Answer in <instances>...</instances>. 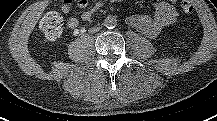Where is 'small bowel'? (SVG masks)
I'll use <instances>...</instances> for the list:
<instances>
[{"instance_id": "obj_1", "label": "small bowel", "mask_w": 217, "mask_h": 121, "mask_svg": "<svg viewBox=\"0 0 217 121\" xmlns=\"http://www.w3.org/2000/svg\"><path fill=\"white\" fill-rule=\"evenodd\" d=\"M66 2H71V0H68ZM153 6L157 11L161 12V16L157 21V25L166 24L172 21L174 18V10L168 1L155 0L153 1ZM78 23L79 22L77 19L71 18L69 20V25L72 27H76Z\"/></svg>"}]
</instances>
